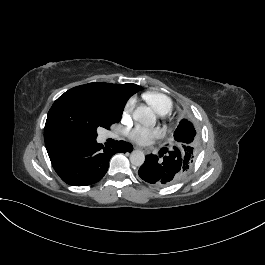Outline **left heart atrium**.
Listing matches in <instances>:
<instances>
[{
	"label": "left heart atrium",
	"instance_id": "39dd6f15",
	"mask_svg": "<svg viewBox=\"0 0 265 265\" xmlns=\"http://www.w3.org/2000/svg\"><path fill=\"white\" fill-rule=\"evenodd\" d=\"M160 135L159 129L146 127L144 125L136 126L132 131L129 133V137L142 144L149 143L152 139L158 137Z\"/></svg>",
	"mask_w": 265,
	"mask_h": 265
}]
</instances>
